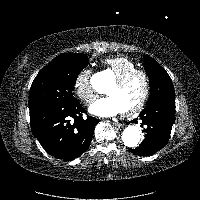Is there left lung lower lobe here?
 I'll return each instance as SVG.
<instances>
[{
    "label": "left lung lower lobe",
    "mask_w": 200,
    "mask_h": 200,
    "mask_svg": "<svg viewBox=\"0 0 200 200\" xmlns=\"http://www.w3.org/2000/svg\"><path fill=\"white\" fill-rule=\"evenodd\" d=\"M142 127L145 125V139L130 152L140 156L152 155L162 149L168 142L175 120V99L158 98L147 103L140 114ZM132 122H137L133 120Z\"/></svg>",
    "instance_id": "left-lung-lower-lobe-1"
}]
</instances>
